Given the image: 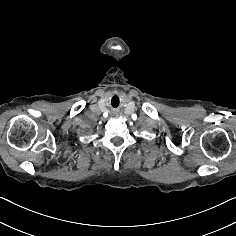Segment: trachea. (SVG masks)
<instances>
[{
  "label": "trachea",
  "instance_id": "3493384b",
  "mask_svg": "<svg viewBox=\"0 0 236 236\" xmlns=\"http://www.w3.org/2000/svg\"><path fill=\"white\" fill-rule=\"evenodd\" d=\"M122 98L119 95H112L109 99H108V106L110 109L112 110H117L120 108V106L122 105Z\"/></svg>",
  "mask_w": 236,
  "mask_h": 236
}]
</instances>
